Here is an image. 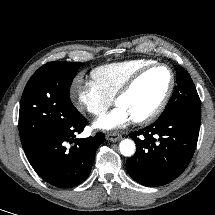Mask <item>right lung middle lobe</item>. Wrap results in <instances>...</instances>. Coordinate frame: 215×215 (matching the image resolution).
<instances>
[{
	"label": "right lung middle lobe",
	"mask_w": 215,
	"mask_h": 215,
	"mask_svg": "<svg viewBox=\"0 0 215 215\" xmlns=\"http://www.w3.org/2000/svg\"><path fill=\"white\" fill-rule=\"evenodd\" d=\"M81 65L49 62L30 78L19 110V134L23 148L80 115L70 100L69 91Z\"/></svg>",
	"instance_id": "obj_1"
}]
</instances>
